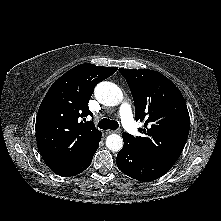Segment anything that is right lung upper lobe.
Returning <instances> with one entry per match:
<instances>
[{
  "instance_id": "cb5924a9",
  "label": "right lung upper lobe",
  "mask_w": 221,
  "mask_h": 221,
  "mask_svg": "<svg viewBox=\"0 0 221 221\" xmlns=\"http://www.w3.org/2000/svg\"><path fill=\"white\" fill-rule=\"evenodd\" d=\"M117 67L81 64L58 78L44 97L36 118V141L46 165L56 172L78 160L101 136L88 102L95 86ZM83 119V121H81Z\"/></svg>"
}]
</instances>
